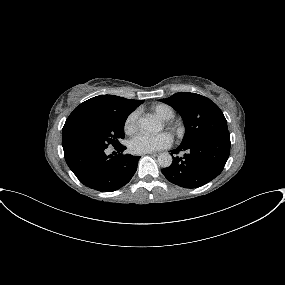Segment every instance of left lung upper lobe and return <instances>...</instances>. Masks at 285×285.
<instances>
[{
	"instance_id": "5c2ea615",
	"label": "left lung upper lobe",
	"mask_w": 285,
	"mask_h": 285,
	"mask_svg": "<svg viewBox=\"0 0 285 285\" xmlns=\"http://www.w3.org/2000/svg\"><path fill=\"white\" fill-rule=\"evenodd\" d=\"M162 102L172 106L184 120L186 132L181 144L206 137L230 140L227 121L210 99L190 92L175 93Z\"/></svg>"
}]
</instances>
